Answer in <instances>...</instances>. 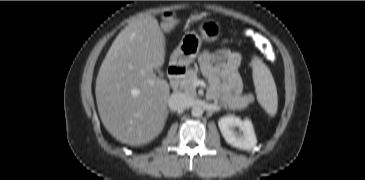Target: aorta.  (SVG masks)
I'll return each instance as SVG.
<instances>
[{"label": "aorta", "instance_id": "aorta-1", "mask_svg": "<svg viewBox=\"0 0 365 180\" xmlns=\"http://www.w3.org/2000/svg\"><path fill=\"white\" fill-rule=\"evenodd\" d=\"M203 108L199 105L193 106L192 110H191V114L194 117H201L203 115Z\"/></svg>", "mask_w": 365, "mask_h": 180}]
</instances>
